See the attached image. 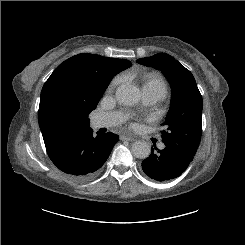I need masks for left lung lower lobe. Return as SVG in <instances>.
Instances as JSON below:
<instances>
[{
  "instance_id": "left-lung-lower-lobe-1",
  "label": "left lung lower lobe",
  "mask_w": 245,
  "mask_h": 245,
  "mask_svg": "<svg viewBox=\"0 0 245 245\" xmlns=\"http://www.w3.org/2000/svg\"><path fill=\"white\" fill-rule=\"evenodd\" d=\"M165 148L150 154L142 162L146 175L157 181H168L179 177L189 166L195 154L180 145L164 143ZM157 150V148L155 147Z\"/></svg>"
}]
</instances>
